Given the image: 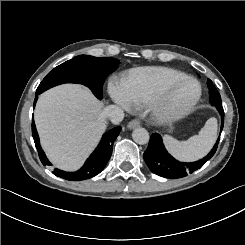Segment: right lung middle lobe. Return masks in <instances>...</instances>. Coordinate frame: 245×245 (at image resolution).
I'll return each mask as SVG.
<instances>
[{
  "label": "right lung middle lobe",
  "mask_w": 245,
  "mask_h": 245,
  "mask_svg": "<svg viewBox=\"0 0 245 245\" xmlns=\"http://www.w3.org/2000/svg\"><path fill=\"white\" fill-rule=\"evenodd\" d=\"M119 61L110 57L79 55L54 68L40 83L36 94L62 83H80L89 87L101 99L102 86Z\"/></svg>",
  "instance_id": "1"
}]
</instances>
